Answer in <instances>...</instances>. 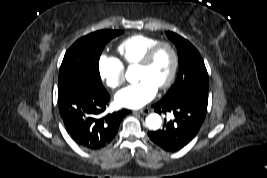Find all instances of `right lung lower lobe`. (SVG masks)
<instances>
[{
  "label": "right lung lower lobe",
  "mask_w": 267,
  "mask_h": 178,
  "mask_svg": "<svg viewBox=\"0 0 267 178\" xmlns=\"http://www.w3.org/2000/svg\"><path fill=\"white\" fill-rule=\"evenodd\" d=\"M110 96L105 89L89 83L59 87L58 107L71 138L88 150H99L115 137L120 122L129 111L122 109L103 115Z\"/></svg>",
  "instance_id": "obj_1"
}]
</instances>
